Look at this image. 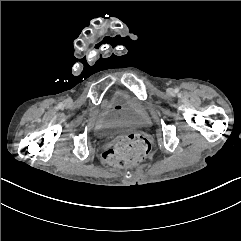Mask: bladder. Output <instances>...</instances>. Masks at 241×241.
<instances>
[{"label":"bladder","mask_w":241,"mask_h":241,"mask_svg":"<svg viewBox=\"0 0 241 241\" xmlns=\"http://www.w3.org/2000/svg\"><path fill=\"white\" fill-rule=\"evenodd\" d=\"M103 118L110 126L137 124L141 120L138 103L124 92H116L105 106Z\"/></svg>","instance_id":"bladder-1"}]
</instances>
